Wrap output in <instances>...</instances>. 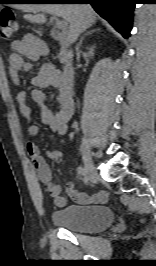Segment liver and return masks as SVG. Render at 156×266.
Masks as SVG:
<instances>
[{
    "label": "liver",
    "instance_id": "liver-1",
    "mask_svg": "<svg viewBox=\"0 0 156 266\" xmlns=\"http://www.w3.org/2000/svg\"><path fill=\"white\" fill-rule=\"evenodd\" d=\"M18 8L29 12L24 16L27 20L38 24L46 21L43 13L62 17L69 25L70 42H75L80 33L96 22V13L87 4H18Z\"/></svg>",
    "mask_w": 156,
    "mask_h": 266
}]
</instances>
